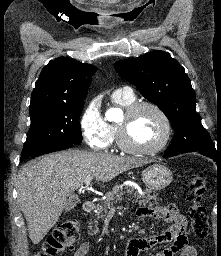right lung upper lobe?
<instances>
[{"label":"right lung upper lobe","mask_w":221,"mask_h":256,"mask_svg":"<svg viewBox=\"0 0 221 256\" xmlns=\"http://www.w3.org/2000/svg\"><path fill=\"white\" fill-rule=\"evenodd\" d=\"M96 67L68 57L46 65L32 92L30 110L84 102Z\"/></svg>","instance_id":"right-lung-upper-lobe-1"}]
</instances>
